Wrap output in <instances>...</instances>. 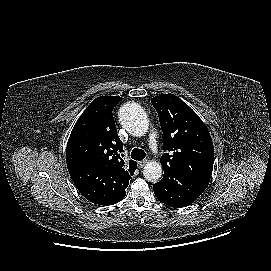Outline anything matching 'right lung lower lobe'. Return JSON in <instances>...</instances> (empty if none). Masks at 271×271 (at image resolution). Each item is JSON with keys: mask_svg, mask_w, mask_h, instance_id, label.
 Listing matches in <instances>:
<instances>
[{"mask_svg": "<svg viewBox=\"0 0 271 271\" xmlns=\"http://www.w3.org/2000/svg\"><path fill=\"white\" fill-rule=\"evenodd\" d=\"M67 167L75 186L90 202L109 206L125 197L129 179L122 174L84 162H73Z\"/></svg>", "mask_w": 271, "mask_h": 271, "instance_id": "1", "label": "right lung lower lobe"}]
</instances>
